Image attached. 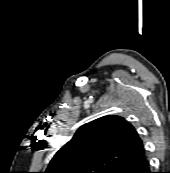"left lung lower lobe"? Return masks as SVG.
I'll use <instances>...</instances> for the list:
<instances>
[{"label":"left lung lower lobe","instance_id":"obj_1","mask_svg":"<svg viewBox=\"0 0 170 173\" xmlns=\"http://www.w3.org/2000/svg\"><path fill=\"white\" fill-rule=\"evenodd\" d=\"M115 173H151L145 153L130 159L119 167Z\"/></svg>","mask_w":170,"mask_h":173}]
</instances>
